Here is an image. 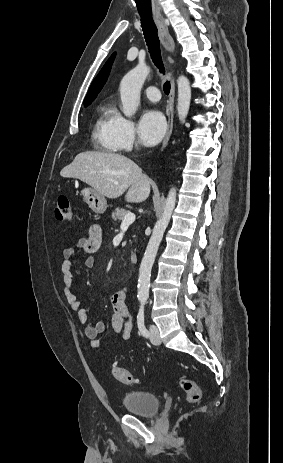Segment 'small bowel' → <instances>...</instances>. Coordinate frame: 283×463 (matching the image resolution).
<instances>
[{"label": "small bowel", "instance_id": "c3829d8e", "mask_svg": "<svg viewBox=\"0 0 283 463\" xmlns=\"http://www.w3.org/2000/svg\"><path fill=\"white\" fill-rule=\"evenodd\" d=\"M101 244L102 229L99 224H92L85 237L80 238L75 245L64 249V261L62 264L65 299L70 310L83 326L84 334L89 339L91 347L95 349L101 347L100 337L104 334L106 326L104 322L99 320L94 322L89 321L87 310L81 306L80 301L73 292V268L77 264L76 254L78 253L82 254L84 265L87 268H92L95 265L93 255L98 252ZM126 294L125 289H119L110 298L113 310L111 327L124 340L130 339L132 333V312L126 303Z\"/></svg>", "mask_w": 283, "mask_h": 463}]
</instances>
